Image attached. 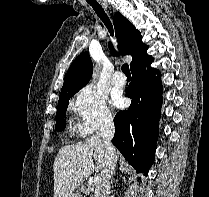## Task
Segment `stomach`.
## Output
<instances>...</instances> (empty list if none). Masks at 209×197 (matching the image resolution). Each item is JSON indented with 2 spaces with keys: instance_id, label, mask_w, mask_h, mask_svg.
<instances>
[{
  "instance_id": "obj_1",
  "label": "stomach",
  "mask_w": 209,
  "mask_h": 197,
  "mask_svg": "<svg viewBox=\"0 0 209 197\" xmlns=\"http://www.w3.org/2000/svg\"><path fill=\"white\" fill-rule=\"evenodd\" d=\"M68 197H81V195L78 192L71 193Z\"/></svg>"
}]
</instances>
